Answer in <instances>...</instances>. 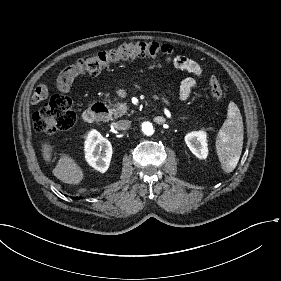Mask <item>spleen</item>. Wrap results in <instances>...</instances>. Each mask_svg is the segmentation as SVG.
<instances>
[{"instance_id": "1", "label": "spleen", "mask_w": 281, "mask_h": 281, "mask_svg": "<svg viewBox=\"0 0 281 281\" xmlns=\"http://www.w3.org/2000/svg\"><path fill=\"white\" fill-rule=\"evenodd\" d=\"M244 129L243 119L238 106L230 101L227 107V118L222 125L215 149L221 169L231 173L236 168L243 148Z\"/></svg>"}]
</instances>
